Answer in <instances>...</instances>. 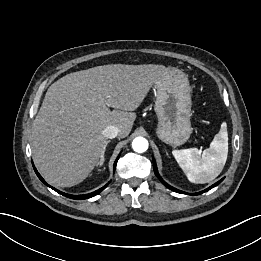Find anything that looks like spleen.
I'll return each mask as SVG.
<instances>
[{"label":"spleen","mask_w":261,"mask_h":261,"mask_svg":"<svg viewBox=\"0 0 261 261\" xmlns=\"http://www.w3.org/2000/svg\"><path fill=\"white\" fill-rule=\"evenodd\" d=\"M177 163L190 182L204 184L214 180L223 170L228 155V133L225 122L221 124L210 147L202 154L197 148L172 151Z\"/></svg>","instance_id":"3e777b00"}]
</instances>
